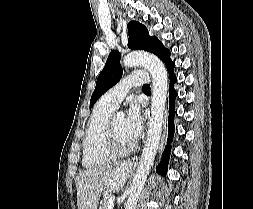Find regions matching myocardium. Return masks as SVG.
<instances>
[{"mask_svg":"<svg viewBox=\"0 0 253 209\" xmlns=\"http://www.w3.org/2000/svg\"><path fill=\"white\" fill-rule=\"evenodd\" d=\"M116 116H111L105 126L103 147L104 150L112 157H124L131 154L136 149V143L134 142L127 148H119L116 144V138L113 129V123Z\"/></svg>","mask_w":253,"mask_h":209,"instance_id":"1","label":"myocardium"}]
</instances>
